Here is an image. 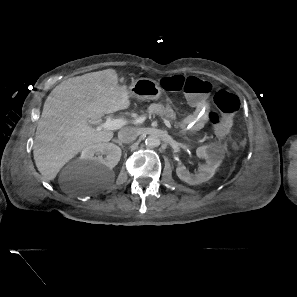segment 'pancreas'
<instances>
[{"instance_id":"1","label":"pancreas","mask_w":297,"mask_h":297,"mask_svg":"<svg viewBox=\"0 0 297 297\" xmlns=\"http://www.w3.org/2000/svg\"><path fill=\"white\" fill-rule=\"evenodd\" d=\"M148 113L150 115H159L168 119L169 121H174L175 126L179 127V123L176 121V113L170 105L164 106L163 104L153 103L148 107Z\"/></svg>"}]
</instances>
